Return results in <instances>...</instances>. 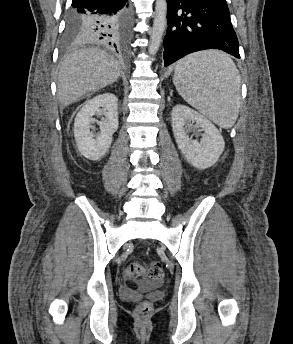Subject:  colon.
<instances>
[{"instance_id": "1", "label": "colon", "mask_w": 293, "mask_h": 344, "mask_svg": "<svg viewBox=\"0 0 293 344\" xmlns=\"http://www.w3.org/2000/svg\"><path fill=\"white\" fill-rule=\"evenodd\" d=\"M125 274L129 276H137L143 279H147L149 282H157L164 275L163 264L159 261H152L148 265H143L140 263L130 264ZM152 310V305L148 301H143L138 304L136 311L137 314L141 317L147 316Z\"/></svg>"}]
</instances>
